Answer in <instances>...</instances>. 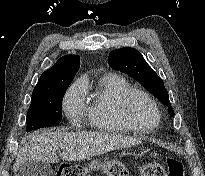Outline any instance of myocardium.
<instances>
[{
    "instance_id": "obj_1",
    "label": "myocardium",
    "mask_w": 205,
    "mask_h": 176,
    "mask_svg": "<svg viewBox=\"0 0 205 176\" xmlns=\"http://www.w3.org/2000/svg\"><path fill=\"white\" fill-rule=\"evenodd\" d=\"M137 96L144 97L154 108L156 116H157V120L154 125L141 126V125L136 124L131 118L130 104L132 100ZM121 114H122L123 119L127 122L128 125L132 127L133 130L142 131V132L149 131L151 128L158 126L161 123V119H162L161 109L157 101L150 93L142 89H132L123 96L121 100Z\"/></svg>"
}]
</instances>
